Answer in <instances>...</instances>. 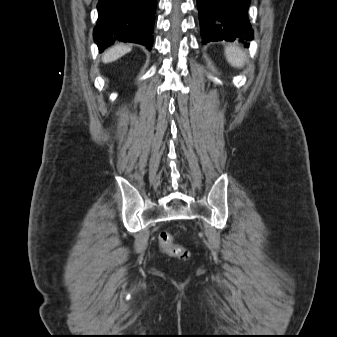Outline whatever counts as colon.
Masks as SVG:
<instances>
[{"label": "colon", "instance_id": "colon-1", "mask_svg": "<svg viewBox=\"0 0 337 337\" xmlns=\"http://www.w3.org/2000/svg\"><path fill=\"white\" fill-rule=\"evenodd\" d=\"M159 246L163 252L173 254L179 258H185L188 251L174 242L173 236L170 232L163 231L159 235Z\"/></svg>", "mask_w": 337, "mask_h": 337}]
</instances>
